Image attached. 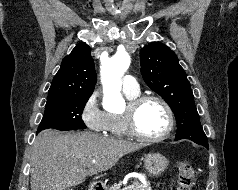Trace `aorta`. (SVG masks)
<instances>
[{
  "label": "aorta",
  "mask_w": 238,
  "mask_h": 190,
  "mask_svg": "<svg viewBox=\"0 0 238 190\" xmlns=\"http://www.w3.org/2000/svg\"><path fill=\"white\" fill-rule=\"evenodd\" d=\"M130 66V56L125 51L117 52L107 59L101 68L103 85V106L106 110H114L121 105V76Z\"/></svg>",
  "instance_id": "762f6f07"
}]
</instances>
